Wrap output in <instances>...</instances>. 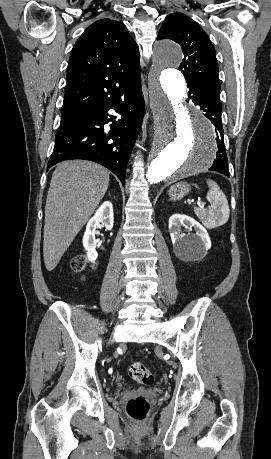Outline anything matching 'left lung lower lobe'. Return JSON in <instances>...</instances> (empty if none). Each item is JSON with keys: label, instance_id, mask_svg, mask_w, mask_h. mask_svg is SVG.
Segmentation results:
<instances>
[{"label": "left lung lower lobe", "instance_id": "1", "mask_svg": "<svg viewBox=\"0 0 271 459\" xmlns=\"http://www.w3.org/2000/svg\"><path fill=\"white\" fill-rule=\"evenodd\" d=\"M188 88L190 89L188 92V99H191L195 105L200 106V109L206 112L205 116L215 126L217 156L209 170L218 171L229 177L227 154L223 136L224 131L221 121L222 106L220 103V90H214L209 85Z\"/></svg>", "mask_w": 271, "mask_h": 459}]
</instances>
